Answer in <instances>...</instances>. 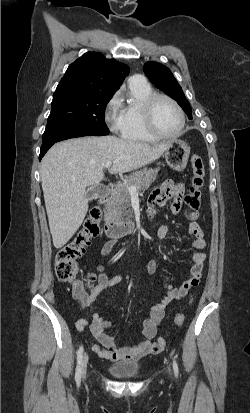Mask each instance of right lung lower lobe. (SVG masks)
<instances>
[{
	"instance_id": "98d812e1",
	"label": "right lung lower lobe",
	"mask_w": 250,
	"mask_h": 413,
	"mask_svg": "<svg viewBox=\"0 0 250 413\" xmlns=\"http://www.w3.org/2000/svg\"><path fill=\"white\" fill-rule=\"evenodd\" d=\"M108 134L109 133H103V132L91 131V130H73V131L62 133L52 140L43 142L40 155H39V160L42 159V157L45 155L48 149L56 142L70 139V138H75V137H83V136H91V135L102 136V135H108Z\"/></svg>"
}]
</instances>
